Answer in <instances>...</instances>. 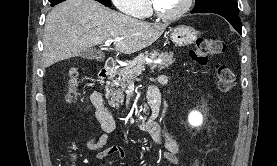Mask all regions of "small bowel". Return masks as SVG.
Masks as SVG:
<instances>
[{"instance_id":"obj_1","label":"small bowel","mask_w":277,"mask_h":166,"mask_svg":"<svg viewBox=\"0 0 277 166\" xmlns=\"http://www.w3.org/2000/svg\"><path fill=\"white\" fill-rule=\"evenodd\" d=\"M160 83L165 84V77L161 76L159 78ZM156 89L157 88H151ZM159 92V91H158ZM91 102L96 108V116L100 123L102 133L100 135H96L91 137L87 142V148L91 151H97L96 158L97 159H105L107 157H118L122 158L124 152L119 146H111L109 148H105L108 143L110 134L115 129V120L108 112L102 109L101 106V98L100 94L97 91L92 92L91 94ZM151 134L155 141L164 148V156L170 162L175 165L179 164V147L175 139L168 133L165 129H163L159 124H153L151 128Z\"/></svg>"}]
</instances>
